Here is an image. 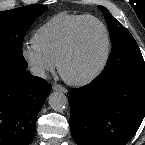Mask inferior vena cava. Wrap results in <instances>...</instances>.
I'll list each match as a JSON object with an SVG mask.
<instances>
[{
    "instance_id": "obj_1",
    "label": "inferior vena cava",
    "mask_w": 145,
    "mask_h": 145,
    "mask_svg": "<svg viewBox=\"0 0 145 145\" xmlns=\"http://www.w3.org/2000/svg\"><path fill=\"white\" fill-rule=\"evenodd\" d=\"M30 72L34 76H39V77H42V78L46 77L44 70L41 67H38V66L31 67Z\"/></svg>"
}]
</instances>
